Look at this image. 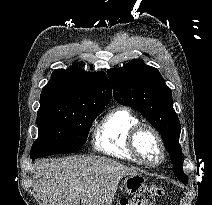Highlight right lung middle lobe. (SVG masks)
<instances>
[{
  "instance_id": "obj_1",
  "label": "right lung middle lobe",
  "mask_w": 212,
  "mask_h": 205,
  "mask_svg": "<svg viewBox=\"0 0 212 205\" xmlns=\"http://www.w3.org/2000/svg\"><path fill=\"white\" fill-rule=\"evenodd\" d=\"M105 106H76L57 113L38 112L39 135L31 147V159L77 152L86 142L92 122Z\"/></svg>"
}]
</instances>
